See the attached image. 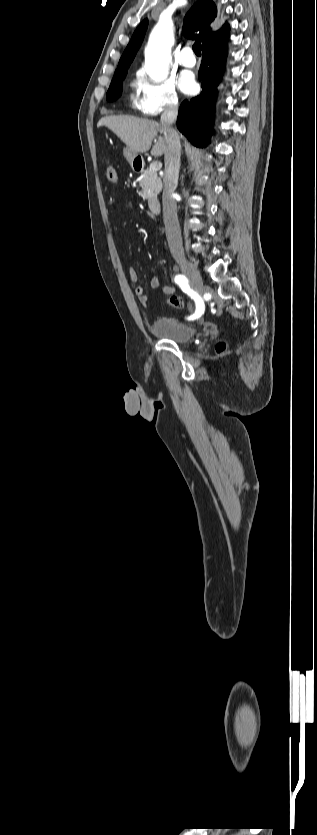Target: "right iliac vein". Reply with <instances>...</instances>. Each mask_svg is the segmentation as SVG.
<instances>
[{
    "mask_svg": "<svg viewBox=\"0 0 317 835\" xmlns=\"http://www.w3.org/2000/svg\"><path fill=\"white\" fill-rule=\"evenodd\" d=\"M178 263L184 273L190 280V284L196 293L202 294L204 292V285L199 271L196 266L185 258H180Z\"/></svg>",
    "mask_w": 317,
    "mask_h": 835,
    "instance_id": "obj_1",
    "label": "right iliac vein"
}]
</instances>
